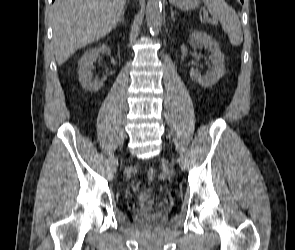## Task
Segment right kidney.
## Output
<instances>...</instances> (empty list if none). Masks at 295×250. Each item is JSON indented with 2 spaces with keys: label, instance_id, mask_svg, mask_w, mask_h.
I'll use <instances>...</instances> for the list:
<instances>
[{
  "label": "right kidney",
  "instance_id": "1",
  "mask_svg": "<svg viewBox=\"0 0 295 250\" xmlns=\"http://www.w3.org/2000/svg\"><path fill=\"white\" fill-rule=\"evenodd\" d=\"M110 48L103 44L98 48H93L85 52L81 60L79 61V81L85 90L96 92L104 85L106 77L101 80H93L91 73V66L94 61L100 56L101 53L110 54Z\"/></svg>",
  "mask_w": 295,
  "mask_h": 250
}]
</instances>
